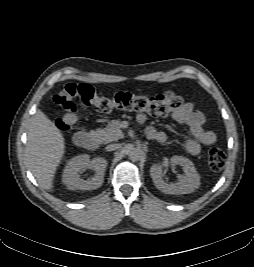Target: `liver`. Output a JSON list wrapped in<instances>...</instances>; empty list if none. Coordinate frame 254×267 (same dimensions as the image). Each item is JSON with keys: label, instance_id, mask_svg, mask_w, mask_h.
I'll return each instance as SVG.
<instances>
[{"label": "liver", "instance_id": "1", "mask_svg": "<svg viewBox=\"0 0 254 267\" xmlns=\"http://www.w3.org/2000/svg\"><path fill=\"white\" fill-rule=\"evenodd\" d=\"M65 141L55 124L38 109L28 130L26 157L28 166L39 185L50 191L63 155Z\"/></svg>", "mask_w": 254, "mask_h": 267}]
</instances>
